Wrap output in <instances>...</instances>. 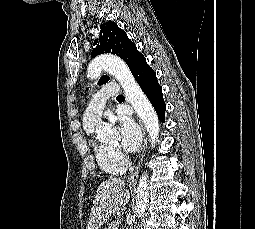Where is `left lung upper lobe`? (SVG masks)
Listing matches in <instances>:
<instances>
[{"label":"left lung upper lobe","instance_id":"left-lung-upper-lobe-1","mask_svg":"<svg viewBox=\"0 0 255 229\" xmlns=\"http://www.w3.org/2000/svg\"><path fill=\"white\" fill-rule=\"evenodd\" d=\"M94 46L95 48L91 53L92 57L104 53L116 54L126 62L131 72L143 56L137 50L135 44L128 38L125 31L112 21L100 25L99 38L94 41ZM108 80L109 77L102 76L98 84H105Z\"/></svg>","mask_w":255,"mask_h":229}]
</instances>
